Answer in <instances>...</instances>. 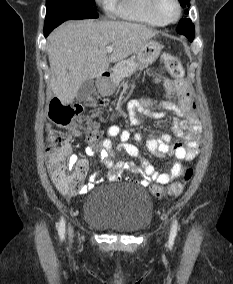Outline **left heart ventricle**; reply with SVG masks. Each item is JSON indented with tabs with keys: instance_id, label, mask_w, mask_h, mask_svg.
I'll return each instance as SVG.
<instances>
[{
	"instance_id": "obj_1",
	"label": "left heart ventricle",
	"mask_w": 233,
	"mask_h": 284,
	"mask_svg": "<svg viewBox=\"0 0 233 284\" xmlns=\"http://www.w3.org/2000/svg\"><path fill=\"white\" fill-rule=\"evenodd\" d=\"M159 10L162 17L166 20L174 18L176 14V7L171 0H161Z\"/></svg>"
}]
</instances>
